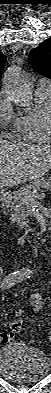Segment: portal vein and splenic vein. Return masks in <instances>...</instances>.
<instances>
[{"instance_id":"portal-vein-and-splenic-vein-1","label":"portal vein and splenic vein","mask_w":51,"mask_h":393,"mask_svg":"<svg viewBox=\"0 0 51 393\" xmlns=\"http://www.w3.org/2000/svg\"><path fill=\"white\" fill-rule=\"evenodd\" d=\"M38 197H40V194H34V195H30V196H28V199H29V201H31V200H33V199H35V198H38Z\"/></svg>"}]
</instances>
